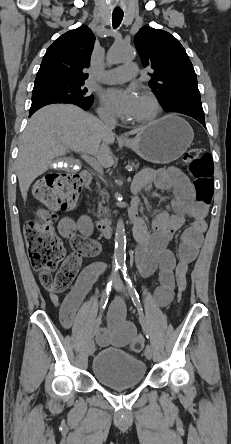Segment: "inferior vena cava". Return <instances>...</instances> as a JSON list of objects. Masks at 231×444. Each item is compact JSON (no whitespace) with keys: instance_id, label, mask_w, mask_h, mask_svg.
<instances>
[{"instance_id":"inferior-vena-cava-1","label":"inferior vena cava","mask_w":231,"mask_h":444,"mask_svg":"<svg viewBox=\"0 0 231 444\" xmlns=\"http://www.w3.org/2000/svg\"><path fill=\"white\" fill-rule=\"evenodd\" d=\"M100 119L104 124L105 128L113 130L116 126L115 118L108 113H100Z\"/></svg>"}]
</instances>
